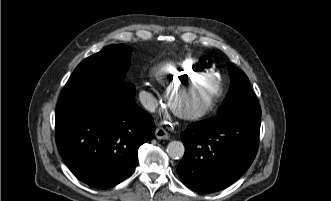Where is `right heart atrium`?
<instances>
[{
    "label": "right heart atrium",
    "instance_id": "d8ad5b80",
    "mask_svg": "<svg viewBox=\"0 0 331 201\" xmlns=\"http://www.w3.org/2000/svg\"><path fill=\"white\" fill-rule=\"evenodd\" d=\"M140 98L144 107L152 109L156 107L159 99V94L157 89L152 85V83L145 81L141 83L140 87Z\"/></svg>",
    "mask_w": 331,
    "mask_h": 201
}]
</instances>
